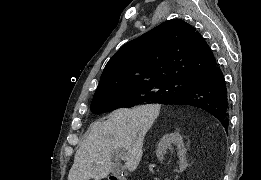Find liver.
Wrapping results in <instances>:
<instances>
[{
	"instance_id": "obj_1",
	"label": "liver",
	"mask_w": 261,
	"mask_h": 180,
	"mask_svg": "<svg viewBox=\"0 0 261 180\" xmlns=\"http://www.w3.org/2000/svg\"><path fill=\"white\" fill-rule=\"evenodd\" d=\"M159 114V106L147 104L133 110H115L90 126L78 148L68 180H103L127 154L126 170L134 172L142 158L144 138Z\"/></svg>"
}]
</instances>
